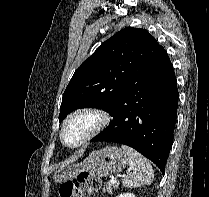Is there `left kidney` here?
I'll return each instance as SVG.
<instances>
[{
    "label": "left kidney",
    "instance_id": "1",
    "mask_svg": "<svg viewBox=\"0 0 209 197\" xmlns=\"http://www.w3.org/2000/svg\"><path fill=\"white\" fill-rule=\"evenodd\" d=\"M116 197H136L134 194H132V193H121V194H119L118 196H116Z\"/></svg>",
    "mask_w": 209,
    "mask_h": 197
}]
</instances>
